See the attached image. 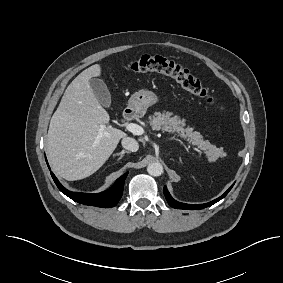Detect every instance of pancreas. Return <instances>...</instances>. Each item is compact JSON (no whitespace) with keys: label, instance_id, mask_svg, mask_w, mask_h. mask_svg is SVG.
<instances>
[{"label":"pancreas","instance_id":"pancreas-1","mask_svg":"<svg viewBox=\"0 0 283 283\" xmlns=\"http://www.w3.org/2000/svg\"><path fill=\"white\" fill-rule=\"evenodd\" d=\"M149 119L153 130L178 133L180 137L214 157H218L223 153L221 149L212 145L208 140H204L199 132L193 131V128L189 126L185 128V120L180 119L178 116L172 117L170 112H155L154 116L149 117Z\"/></svg>","mask_w":283,"mask_h":283}]
</instances>
